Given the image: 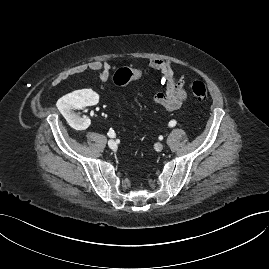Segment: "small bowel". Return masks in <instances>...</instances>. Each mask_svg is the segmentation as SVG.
Masks as SVG:
<instances>
[{"mask_svg": "<svg viewBox=\"0 0 269 269\" xmlns=\"http://www.w3.org/2000/svg\"><path fill=\"white\" fill-rule=\"evenodd\" d=\"M147 63L151 69L158 72L159 81L165 87L163 92H158L152 95L151 101L168 111L180 110L187 101L184 77L175 71L174 64L171 61L151 58ZM76 70L78 72L88 70L97 72L100 80L108 81L112 69L107 61H88L76 67ZM133 72L136 79L143 75L141 69H134ZM66 76V72L56 76L51 81L50 87L57 86L66 78Z\"/></svg>", "mask_w": 269, "mask_h": 269, "instance_id": "small-bowel-1", "label": "small bowel"}]
</instances>
